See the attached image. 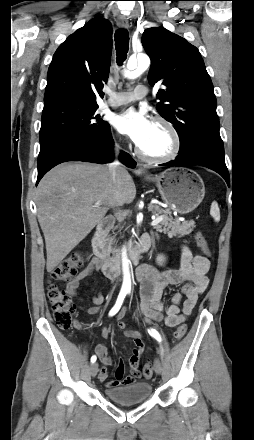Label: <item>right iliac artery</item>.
<instances>
[{
    "label": "right iliac artery",
    "instance_id": "82829eb1",
    "mask_svg": "<svg viewBox=\"0 0 254 440\" xmlns=\"http://www.w3.org/2000/svg\"><path fill=\"white\" fill-rule=\"evenodd\" d=\"M126 294H127L126 292H120L119 293L117 301H116L114 307L109 312V316H113V315H115L119 311V309L121 308V305H122V303L124 301V298H125ZM96 359H97V357L95 355H93L91 357V362L94 363L96 361Z\"/></svg>",
    "mask_w": 254,
    "mask_h": 440
}]
</instances>
